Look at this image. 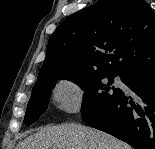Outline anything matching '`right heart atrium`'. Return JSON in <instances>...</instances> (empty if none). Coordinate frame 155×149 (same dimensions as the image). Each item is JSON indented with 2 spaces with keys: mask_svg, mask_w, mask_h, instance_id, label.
<instances>
[{
  "mask_svg": "<svg viewBox=\"0 0 155 149\" xmlns=\"http://www.w3.org/2000/svg\"><path fill=\"white\" fill-rule=\"evenodd\" d=\"M56 107L67 113L76 112L84 97L83 86L72 79L60 80L52 91Z\"/></svg>",
  "mask_w": 155,
  "mask_h": 149,
  "instance_id": "right-heart-atrium-1",
  "label": "right heart atrium"
}]
</instances>
